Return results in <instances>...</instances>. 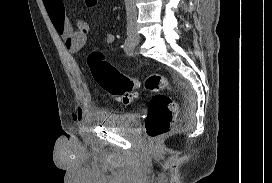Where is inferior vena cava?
Returning a JSON list of instances; mask_svg holds the SVG:
<instances>
[{
	"instance_id": "1",
	"label": "inferior vena cava",
	"mask_w": 272,
	"mask_h": 183,
	"mask_svg": "<svg viewBox=\"0 0 272 183\" xmlns=\"http://www.w3.org/2000/svg\"><path fill=\"white\" fill-rule=\"evenodd\" d=\"M126 15H127V30L134 29L137 19V11L135 0H125Z\"/></svg>"
}]
</instances>
